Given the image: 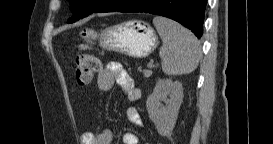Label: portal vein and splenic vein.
Segmentation results:
<instances>
[{
  "label": "portal vein and splenic vein",
  "instance_id": "portal-vein-and-splenic-vein-1",
  "mask_svg": "<svg viewBox=\"0 0 273 144\" xmlns=\"http://www.w3.org/2000/svg\"><path fill=\"white\" fill-rule=\"evenodd\" d=\"M148 67H149V68H152V67H153V62H150V63L148 64Z\"/></svg>",
  "mask_w": 273,
  "mask_h": 144
}]
</instances>
